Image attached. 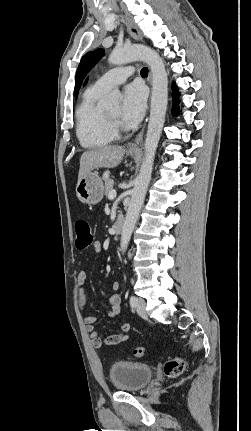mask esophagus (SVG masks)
Instances as JSON below:
<instances>
[{"mask_svg":"<svg viewBox=\"0 0 251 431\" xmlns=\"http://www.w3.org/2000/svg\"><path fill=\"white\" fill-rule=\"evenodd\" d=\"M122 18L125 21L131 36L135 40H138V41L141 40L142 39L141 33L138 30V28L136 27V25L133 23V21L130 18H128L127 16H122ZM149 83L151 84V73L149 75ZM144 129H145V127H143V129L136 136L135 140L129 145V150H138V148L142 142V139H143Z\"/></svg>","mask_w":251,"mask_h":431,"instance_id":"esophagus-1","label":"esophagus"}]
</instances>
